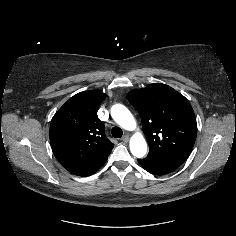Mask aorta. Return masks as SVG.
Segmentation results:
<instances>
[{"mask_svg":"<svg viewBox=\"0 0 236 236\" xmlns=\"http://www.w3.org/2000/svg\"><path fill=\"white\" fill-rule=\"evenodd\" d=\"M111 116L117 124L126 130L131 131L136 128V121L133 115L122 104H115L111 107ZM130 151L138 158L145 156L147 153V143L141 133H136L131 137Z\"/></svg>","mask_w":236,"mask_h":236,"instance_id":"obj_1","label":"aorta"}]
</instances>
